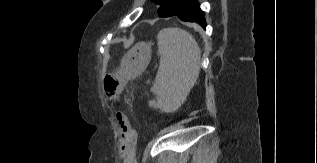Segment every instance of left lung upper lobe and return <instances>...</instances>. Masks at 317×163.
Wrapping results in <instances>:
<instances>
[{"instance_id":"left-lung-upper-lobe-1","label":"left lung upper lobe","mask_w":317,"mask_h":163,"mask_svg":"<svg viewBox=\"0 0 317 163\" xmlns=\"http://www.w3.org/2000/svg\"><path fill=\"white\" fill-rule=\"evenodd\" d=\"M161 7L158 9L160 17H169L173 15L184 2V0H153Z\"/></svg>"}]
</instances>
